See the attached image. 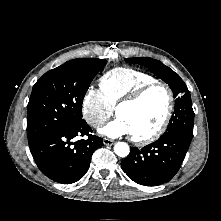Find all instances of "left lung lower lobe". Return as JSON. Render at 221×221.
<instances>
[{
  "label": "left lung lower lobe",
  "instance_id": "0a47b994",
  "mask_svg": "<svg viewBox=\"0 0 221 221\" xmlns=\"http://www.w3.org/2000/svg\"><path fill=\"white\" fill-rule=\"evenodd\" d=\"M191 140L179 134H163L142 149L132 147L129 155L121 162L122 169L140 185L157 186L166 183L178 172Z\"/></svg>",
  "mask_w": 221,
  "mask_h": 221
}]
</instances>
